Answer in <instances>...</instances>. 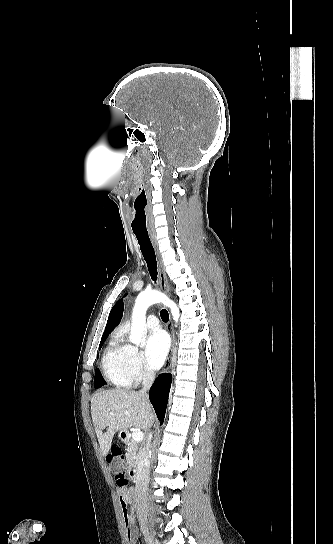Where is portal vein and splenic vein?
Here are the masks:
<instances>
[{
	"mask_svg": "<svg viewBox=\"0 0 333 544\" xmlns=\"http://www.w3.org/2000/svg\"><path fill=\"white\" fill-rule=\"evenodd\" d=\"M144 437V433L140 430L138 431H134L132 433V439L135 440V441H141Z\"/></svg>",
	"mask_w": 333,
	"mask_h": 544,
	"instance_id": "1",
	"label": "portal vein and splenic vein"
}]
</instances>
